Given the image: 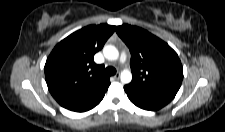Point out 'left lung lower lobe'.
<instances>
[{
	"mask_svg": "<svg viewBox=\"0 0 225 132\" xmlns=\"http://www.w3.org/2000/svg\"><path fill=\"white\" fill-rule=\"evenodd\" d=\"M124 90L133 104L149 111L159 110L173 99L163 95L139 93L131 90L127 85L124 86Z\"/></svg>",
	"mask_w": 225,
	"mask_h": 132,
	"instance_id": "left-lung-lower-lobe-1",
	"label": "left lung lower lobe"
}]
</instances>
